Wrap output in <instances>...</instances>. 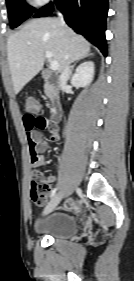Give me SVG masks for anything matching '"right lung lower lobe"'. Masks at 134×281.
I'll list each match as a JSON object with an SVG mask.
<instances>
[{
	"instance_id": "obj_1",
	"label": "right lung lower lobe",
	"mask_w": 134,
	"mask_h": 281,
	"mask_svg": "<svg viewBox=\"0 0 134 281\" xmlns=\"http://www.w3.org/2000/svg\"><path fill=\"white\" fill-rule=\"evenodd\" d=\"M55 3L64 14L66 23L94 43L106 56L107 45L104 32L108 0H55ZM52 11L53 4L50 3L34 17L49 16Z\"/></svg>"
}]
</instances>
